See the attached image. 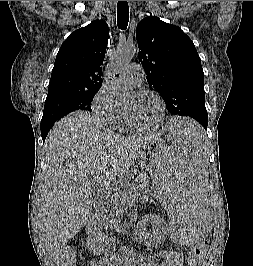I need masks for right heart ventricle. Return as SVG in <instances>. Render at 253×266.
<instances>
[{
    "label": "right heart ventricle",
    "mask_w": 253,
    "mask_h": 266,
    "mask_svg": "<svg viewBox=\"0 0 253 266\" xmlns=\"http://www.w3.org/2000/svg\"><path fill=\"white\" fill-rule=\"evenodd\" d=\"M113 125L119 130H123V131L131 130V128L129 127L128 121H127L125 111L123 109H122L121 114L117 117Z\"/></svg>",
    "instance_id": "right-heart-ventricle-1"
}]
</instances>
